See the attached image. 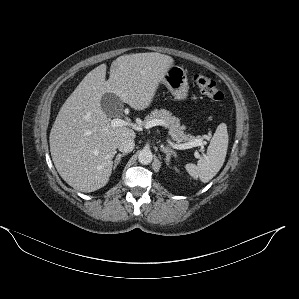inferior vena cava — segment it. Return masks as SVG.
Listing matches in <instances>:
<instances>
[{
    "instance_id": "1",
    "label": "inferior vena cava",
    "mask_w": 299,
    "mask_h": 299,
    "mask_svg": "<svg viewBox=\"0 0 299 299\" xmlns=\"http://www.w3.org/2000/svg\"><path fill=\"white\" fill-rule=\"evenodd\" d=\"M135 147L134 139L130 137H122L119 139L117 148L123 153L131 152Z\"/></svg>"
}]
</instances>
